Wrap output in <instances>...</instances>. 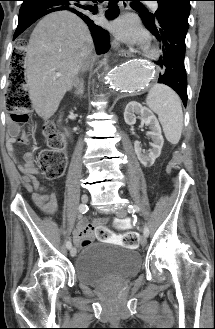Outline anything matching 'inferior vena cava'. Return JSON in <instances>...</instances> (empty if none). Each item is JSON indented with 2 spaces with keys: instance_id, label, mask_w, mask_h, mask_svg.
Instances as JSON below:
<instances>
[{
  "instance_id": "obj_1",
  "label": "inferior vena cava",
  "mask_w": 215,
  "mask_h": 329,
  "mask_svg": "<svg viewBox=\"0 0 215 329\" xmlns=\"http://www.w3.org/2000/svg\"><path fill=\"white\" fill-rule=\"evenodd\" d=\"M87 68H88V63H86L85 65H83V67H82V71H83V72L86 71ZM80 85H81V82H79V79H77V80H76V83H75V86L78 88V87H80Z\"/></svg>"
}]
</instances>
